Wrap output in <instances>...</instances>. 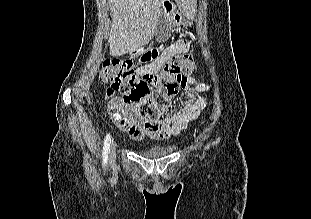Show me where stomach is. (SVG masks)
Returning a JSON list of instances; mask_svg holds the SVG:
<instances>
[{
  "mask_svg": "<svg viewBox=\"0 0 311 219\" xmlns=\"http://www.w3.org/2000/svg\"><path fill=\"white\" fill-rule=\"evenodd\" d=\"M180 12H173L171 14L168 15H163L165 16V18L167 19V21L170 24H174V25H182L184 24V14L181 12V10L179 9Z\"/></svg>",
  "mask_w": 311,
  "mask_h": 219,
  "instance_id": "1",
  "label": "stomach"
}]
</instances>
